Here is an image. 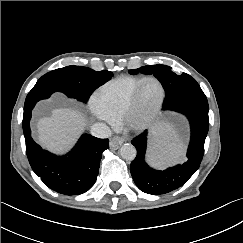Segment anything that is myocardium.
Returning a JSON list of instances; mask_svg holds the SVG:
<instances>
[{"label":"myocardium","mask_w":243,"mask_h":243,"mask_svg":"<svg viewBox=\"0 0 243 243\" xmlns=\"http://www.w3.org/2000/svg\"><path fill=\"white\" fill-rule=\"evenodd\" d=\"M155 82L160 88V96L156 104L147 112L142 114L140 117H136L134 115V109L136 106L137 99L139 94L144 87V85L148 82ZM166 97L165 88L162 82L155 77H147L145 78L132 92L130 97L128 98L122 113H121V123L128 129L132 131H144L146 130L156 119L159 112L161 111L164 101Z\"/></svg>","instance_id":"1"}]
</instances>
